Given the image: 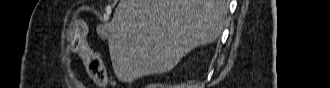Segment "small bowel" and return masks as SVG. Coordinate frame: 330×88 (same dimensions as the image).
Returning a JSON list of instances; mask_svg holds the SVG:
<instances>
[{"label": "small bowel", "instance_id": "c3829d8e", "mask_svg": "<svg viewBox=\"0 0 330 88\" xmlns=\"http://www.w3.org/2000/svg\"><path fill=\"white\" fill-rule=\"evenodd\" d=\"M79 25L81 26L82 31L84 32V26L82 24H79Z\"/></svg>", "mask_w": 330, "mask_h": 88}]
</instances>
